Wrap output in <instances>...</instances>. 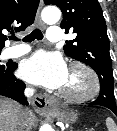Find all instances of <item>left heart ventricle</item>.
<instances>
[{"label": "left heart ventricle", "instance_id": "left-heart-ventricle-1", "mask_svg": "<svg viewBox=\"0 0 117 131\" xmlns=\"http://www.w3.org/2000/svg\"><path fill=\"white\" fill-rule=\"evenodd\" d=\"M87 87V79L84 76V74L80 71H68V75L66 78V81L64 85L61 87V89L79 93L86 89Z\"/></svg>", "mask_w": 117, "mask_h": 131}]
</instances>
